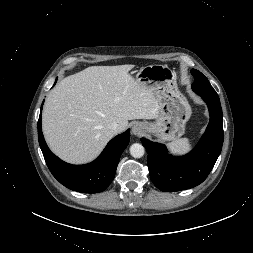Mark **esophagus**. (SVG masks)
I'll return each mask as SVG.
<instances>
[{
  "mask_svg": "<svg viewBox=\"0 0 253 253\" xmlns=\"http://www.w3.org/2000/svg\"><path fill=\"white\" fill-rule=\"evenodd\" d=\"M132 133L136 136H139L143 133V127L141 124L136 123L133 127H132Z\"/></svg>",
  "mask_w": 253,
  "mask_h": 253,
  "instance_id": "1",
  "label": "esophagus"
}]
</instances>
